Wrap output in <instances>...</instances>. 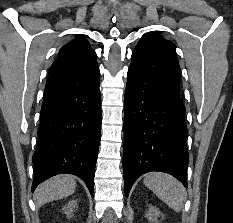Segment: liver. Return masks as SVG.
Returning <instances> with one entry per match:
<instances>
[{"instance_id":"liver-1","label":"liver","mask_w":233,"mask_h":223,"mask_svg":"<svg viewBox=\"0 0 233 223\" xmlns=\"http://www.w3.org/2000/svg\"><path fill=\"white\" fill-rule=\"evenodd\" d=\"M75 189L76 181L73 175H55L38 185L34 197L39 205H44L47 201L68 197Z\"/></svg>"}]
</instances>
